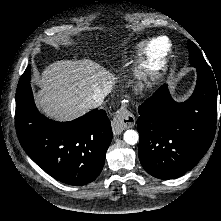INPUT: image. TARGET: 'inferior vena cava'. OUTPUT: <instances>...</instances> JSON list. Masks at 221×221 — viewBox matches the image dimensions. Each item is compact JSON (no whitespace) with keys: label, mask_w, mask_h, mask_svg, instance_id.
Instances as JSON below:
<instances>
[{"label":"inferior vena cava","mask_w":221,"mask_h":221,"mask_svg":"<svg viewBox=\"0 0 221 221\" xmlns=\"http://www.w3.org/2000/svg\"><path fill=\"white\" fill-rule=\"evenodd\" d=\"M109 93L107 89H96L95 92L89 95L84 101V107L91 109L100 106L103 103L104 97Z\"/></svg>","instance_id":"602c4592"}]
</instances>
